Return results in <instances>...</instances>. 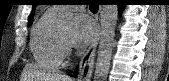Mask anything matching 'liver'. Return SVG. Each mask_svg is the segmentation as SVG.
Instances as JSON below:
<instances>
[{"mask_svg": "<svg viewBox=\"0 0 169 81\" xmlns=\"http://www.w3.org/2000/svg\"><path fill=\"white\" fill-rule=\"evenodd\" d=\"M27 74V81H71V78L58 72L39 71L37 67L29 65Z\"/></svg>", "mask_w": 169, "mask_h": 81, "instance_id": "6515ba94", "label": "liver"}]
</instances>
